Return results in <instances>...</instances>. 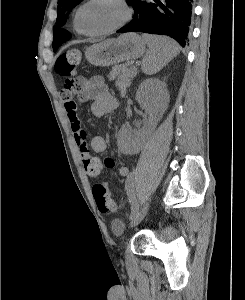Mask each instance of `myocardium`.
<instances>
[{
  "mask_svg": "<svg viewBox=\"0 0 245 300\" xmlns=\"http://www.w3.org/2000/svg\"><path fill=\"white\" fill-rule=\"evenodd\" d=\"M96 0H85L77 9L76 14H75V19H76V23L79 27V29L86 35L88 36H105L108 34H111L117 30H119L120 28H122L123 26H125L132 18L133 15V11L132 8L130 7L129 3L127 2V0H115L116 3H118L123 11H124V15L123 18L121 19L120 22H118L116 25L102 30V31H96V32H91L85 29V27L82 24V12L83 10L90 5L91 3L95 2Z\"/></svg>",
  "mask_w": 245,
  "mask_h": 300,
  "instance_id": "obj_1",
  "label": "myocardium"
}]
</instances>
